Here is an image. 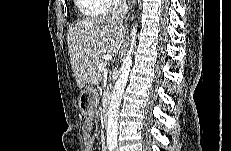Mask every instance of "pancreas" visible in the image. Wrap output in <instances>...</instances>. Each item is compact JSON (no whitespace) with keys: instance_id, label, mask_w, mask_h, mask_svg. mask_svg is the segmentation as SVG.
I'll return each mask as SVG.
<instances>
[{"instance_id":"1","label":"pancreas","mask_w":231,"mask_h":151,"mask_svg":"<svg viewBox=\"0 0 231 151\" xmlns=\"http://www.w3.org/2000/svg\"><path fill=\"white\" fill-rule=\"evenodd\" d=\"M102 63L101 61H99L95 67V71L94 73L92 74V82L95 84V85H98L101 80H102V75H101V72L98 68L99 64Z\"/></svg>"}]
</instances>
